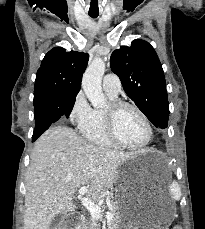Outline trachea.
<instances>
[{
    "instance_id": "3493384b",
    "label": "trachea",
    "mask_w": 205,
    "mask_h": 229,
    "mask_svg": "<svg viewBox=\"0 0 205 229\" xmlns=\"http://www.w3.org/2000/svg\"><path fill=\"white\" fill-rule=\"evenodd\" d=\"M90 17L97 18L98 17V14H90Z\"/></svg>"
}]
</instances>
